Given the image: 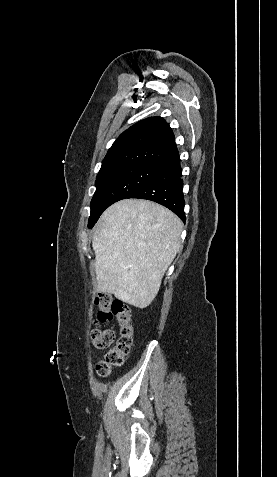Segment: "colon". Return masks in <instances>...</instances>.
Here are the masks:
<instances>
[{"mask_svg": "<svg viewBox=\"0 0 277 477\" xmlns=\"http://www.w3.org/2000/svg\"><path fill=\"white\" fill-rule=\"evenodd\" d=\"M95 304L98 306L99 312L95 320L96 327L91 331V342L98 349L110 348L104 360L96 366L97 373L104 377L109 375L114 367L120 366L130 352L133 335L131 311L126 303L114 299L109 294H99L95 299ZM113 319L120 324V337L116 342H114L113 330L100 327Z\"/></svg>", "mask_w": 277, "mask_h": 477, "instance_id": "obj_1", "label": "colon"}]
</instances>
